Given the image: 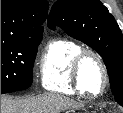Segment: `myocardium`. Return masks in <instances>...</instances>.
I'll use <instances>...</instances> for the list:
<instances>
[{
	"mask_svg": "<svg viewBox=\"0 0 123 113\" xmlns=\"http://www.w3.org/2000/svg\"><path fill=\"white\" fill-rule=\"evenodd\" d=\"M87 58L95 59L96 62L99 64L101 72H102V78H103L102 87L95 94L86 92V89L84 87L83 80H82V66ZM71 74H72L73 83L75 87L80 91V93H83L88 95L89 97L95 98V97L102 96L107 90L109 77H108L106 64L103 58L101 57V55L92 49H82L79 51V53L73 59L72 66H71Z\"/></svg>",
	"mask_w": 123,
	"mask_h": 113,
	"instance_id": "obj_1",
	"label": "myocardium"
}]
</instances>
